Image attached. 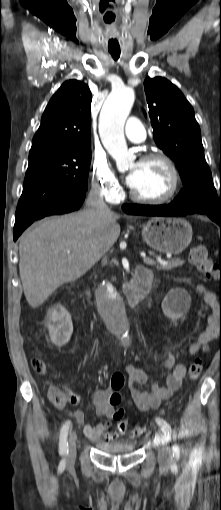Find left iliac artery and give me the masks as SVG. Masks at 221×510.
<instances>
[{
  "mask_svg": "<svg viewBox=\"0 0 221 510\" xmlns=\"http://www.w3.org/2000/svg\"><path fill=\"white\" fill-rule=\"evenodd\" d=\"M156 423L161 428L164 438L166 442H169L171 437L173 436V439H175V436L172 434L171 426L162 418H156ZM174 452H179V446L175 443L172 447Z\"/></svg>",
  "mask_w": 221,
  "mask_h": 510,
  "instance_id": "44dca946",
  "label": "left iliac artery"
}]
</instances>
